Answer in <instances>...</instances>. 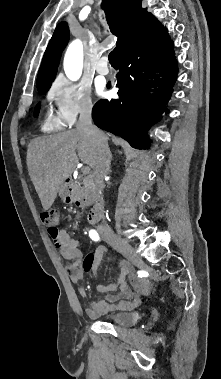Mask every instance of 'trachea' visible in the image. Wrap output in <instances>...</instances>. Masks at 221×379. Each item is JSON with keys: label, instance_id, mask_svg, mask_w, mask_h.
Returning a JSON list of instances; mask_svg holds the SVG:
<instances>
[{"label": "trachea", "instance_id": "trachea-1", "mask_svg": "<svg viewBox=\"0 0 221 379\" xmlns=\"http://www.w3.org/2000/svg\"><path fill=\"white\" fill-rule=\"evenodd\" d=\"M108 59L111 65H117L116 49L110 52Z\"/></svg>", "mask_w": 221, "mask_h": 379}]
</instances>
